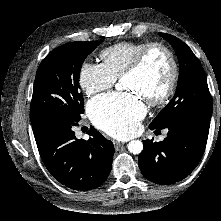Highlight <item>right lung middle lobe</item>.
I'll list each match as a JSON object with an SVG mask.
<instances>
[{
    "label": "right lung middle lobe",
    "mask_w": 221,
    "mask_h": 221,
    "mask_svg": "<svg viewBox=\"0 0 221 221\" xmlns=\"http://www.w3.org/2000/svg\"><path fill=\"white\" fill-rule=\"evenodd\" d=\"M101 41L72 42L50 52L40 64L34 81L30 120L34 124L50 116L79 121L84 100L79 75L85 58Z\"/></svg>",
    "instance_id": "obj_1"
}]
</instances>
